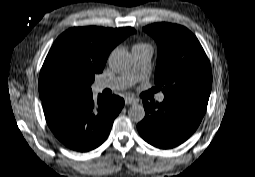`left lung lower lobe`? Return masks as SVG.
<instances>
[{
    "mask_svg": "<svg viewBox=\"0 0 255 177\" xmlns=\"http://www.w3.org/2000/svg\"><path fill=\"white\" fill-rule=\"evenodd\" d=\"M208 101L167 99L162 103L144 100L145 118L137 125L142 138L151 145L169 149L183 143L199 126Z\"/></svg>",
    "mask_w": 255,
    "mask_h": 177,
    "instance_id": "0a47b994",
    "label": "left lung lower lobe"
}]
</instances>
